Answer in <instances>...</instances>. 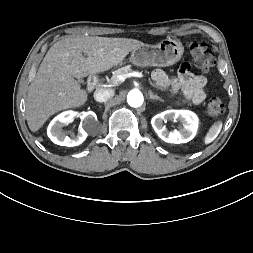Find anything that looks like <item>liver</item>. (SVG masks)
I'll list each match as a JSON object with an SVG mask.
<instances>
[{"label": "liver", "instance_id": "1", "mask_svg": "<svg viewBox=\"0 0 253 253\" xmlns=\"http://www.w3.org/2000/svg\"><path fill=\"white\" fill-rule=\"evenodd\" d=\"M143 45L135 39L89 36L66 37L53 44L28 88L26 119L30 130L38 131L51 115L87 101V91L75 78L107 71Z\"/></svg>", "mask_w": 253, "mask_h": 253}]
</instances>
